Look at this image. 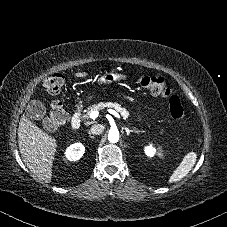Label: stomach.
<instances>
[{
    "instance_id": "obj_1",
    "label": "stomach",
    "mask_w": 227,
    "mask_h": 227,
    "mask_svg": "<svg viewBox=\"0 0 227 227\" xmlns=\"http://www.w3.org/2000/svg\"><path fill=\"white\" fill-rule=\"evenodd\" d=\"M128 76L123 73H118L115 71H106L98 78L99 84H111L114 82L127 80Z\"/></svg>"
}]
</instances>
